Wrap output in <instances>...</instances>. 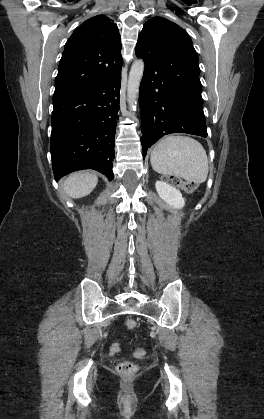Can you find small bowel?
<instances>
[{
    "mask_svg": "<svg viewBox=\"0 0 264 419\" xmlns=\"http://www.w3.org/2000/svg\"><path fill=\"white\" fill-rule=\"evenodd\" d=\"M119 344L118 343H113L110 347V351L112 354H115L119 351Z\"/></svg>",
    "mask_w": 264,
    "mask_h": 419,
    "instance_id": "small-bowel-1",
    "label": "small bowel"
}]
</instances>
